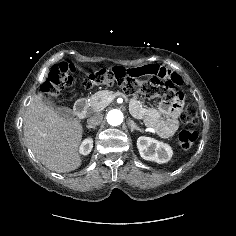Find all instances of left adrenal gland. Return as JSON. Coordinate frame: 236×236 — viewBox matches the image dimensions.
Listing matches in <instances>:
<instances>
[{
    "instance_id": "1",
    "label": "left adrenal gland",
    "mask_w": 236,
    "mask_h": 236,
    "mask_svg": "<svg viewBox=\"0 0 236 236\" xmlns=\"http://www.w3.org/2000/svg\"><path fill=\"white\" fill-rule=\"evenodd\" d=\"M129 125L131 126V131L137 130L141 131V129L135 124V122L132 119H129Z\"/></svg>"
}]
</instances>
